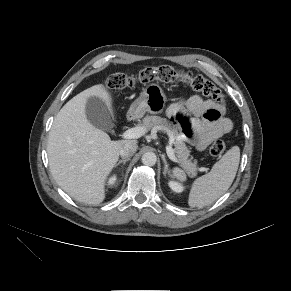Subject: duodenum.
Instances as JSON below:
<instances>
[{
    "instance_id": "duodenum-1",
    "label": "duodenum",
    "mask_w": 291,
    "mask_h": 291,
    "mask_svg": "<svg viewBox=\"0 0 291 291\" xmlns=\"http://www.w3.org/2000/svg\"><path fill=\"white\" fill-rule=\"evenodd\" d=\"M132 119H133V115L132 114H129L128 115V120L131 121Z\"/></svg>"
}]
</instances>
